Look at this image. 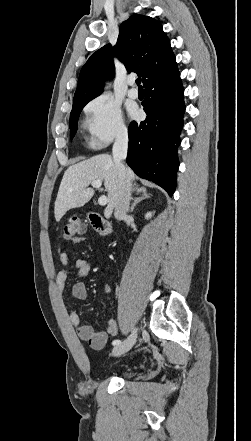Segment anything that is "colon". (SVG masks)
<instances>
[{"instance_id": "colon-1", "label": "colon", "mask_w": 251, "mask_h": 441, "mask_svg": "<svg viewBox=\"0 0 251 441\" xmlns=\"http://www.w3.org/2000/svg\"><path fill=\"white\" fill-rule=\"evenodd\" d=\"M84 224L77 217H70L62 228V235L65 239H73L83 234Z\"/></svg>"}]
</instances>
